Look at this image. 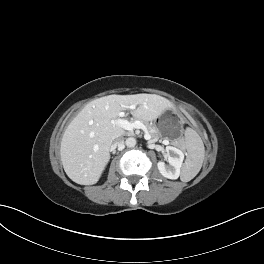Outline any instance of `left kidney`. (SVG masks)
<instances>
[{"instance_id": "5707ae66", "label": "left kidney", "mask_w": 264, "mask_h": 264, "mask_svg": "<svg viewBox=\"0 0 264 264\" xmlns=\"http://www.w3.org/2000/svg\"><path fill=\"white\" fill-rule=\"evenodd\" d=\"M166 152L168 155L169 166L164 162H158L157 167L159 172L168 179H177L181 173V167L184 160V153L173 146H167Z\"/></svg>"}]
</instances>
